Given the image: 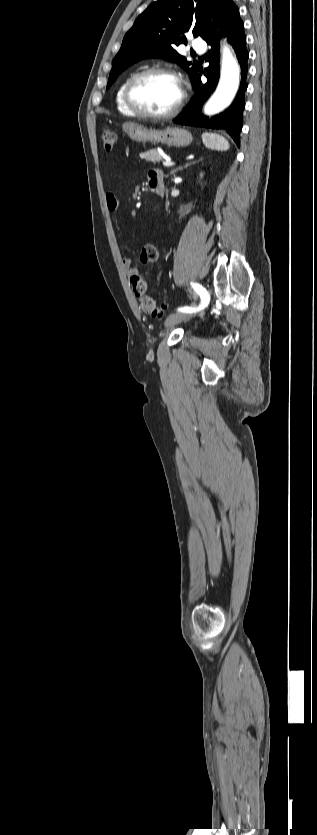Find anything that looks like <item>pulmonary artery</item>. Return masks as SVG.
<instances>
[{
	"label": "pulmonary artery",
	"mask_w": 317,
	"mask_h": 835,
	"mask_svg": "<svg viewBox=\"0 0 317 835\" xmlns=\"http://www.w3.org/2000/svg\"><path fill=\"white\" fill-rule=\"evenodd\" d=\"M192 47L195 51L203 53V52H205V50L207 48V45L204 41H202L200 39H197L193 42Z\"/></svg>",
	"instance_id": "1"
}]
</instances>
